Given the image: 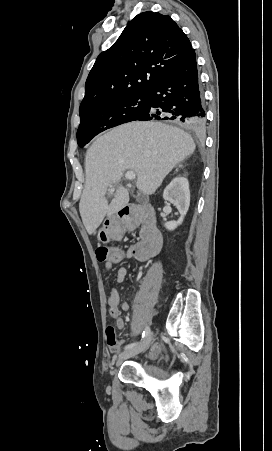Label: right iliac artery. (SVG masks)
I'll return each mask as SVG.
<instances>
[{"mask_svg":"<svg viewBox=\"0 0 272 451\" xmlns=\"http://www.w3.org/2000/svg\"><path fill=\"white\" fill-rule=\"evenodd\" d=\"M149 333H150V328L147 327V328L143 331V333H142V338L146 337ZM134 345H136V343L128 344L127 346H125L124 349L131 348V347H133Z\"/></svg>","mask_w":272,"mask_h":451,"instance_id":"82829eb1","label":"right iliac artery"}]
</instances>
